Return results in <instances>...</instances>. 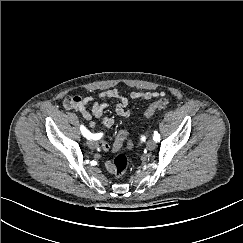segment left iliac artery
<instances>
[{"mask_svg":"<svg viewBox=\"0 0 243 243\" xmlns=\"http://www.w3.org/2000/svg\"><path fill=\"white\" fill-rule=\"evenodd\" d=\"M153 139H154L155 142H159L160 141V134H158L157 132H154Z\"/></svg>","mask_w":243,"mask_h":243,"instance_id":"left-iliac-artery-1","label":"left iliac artery"}]
</instances>
